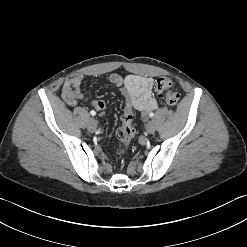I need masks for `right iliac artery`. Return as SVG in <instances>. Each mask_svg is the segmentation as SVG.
<instances>
[{
    "label": "right iliac artery",
    "instance_id": "1",
    "mask_svg": "<svg viewBox=\"0 0 247 247\" xmlns=\"http://www.w3.org/2000/svg\"><path fill=\"white\" fill-rule=\"evenodd\" d=\"M90 114H91L92 116H95V115H96V112H95L94 110H91V111H90Z\"/></svg>",
    "mask_w": 247,
    "mask_h": 247
}]
</instances>
